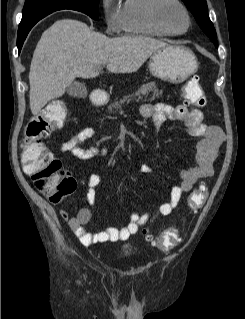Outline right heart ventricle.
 Masks as SVG:
<instances>
[{
    "instance_id": "right-heart-ventricle-1",
    "label": "right heart ventricle",
    "mask_w": 245,
    "mask_h": 319,
    "mask_svg": "<svg viewBox=\"0 0 245 319\" xmlns=\"http://www.w3.org/2000/svg\"><path fill=\"white\" fill-rule=\"evenodd\" d=\"M153 0H123L119 9L121 31L125 34L166 36L150 16Z\"/></svg>"
}]
</instances>
